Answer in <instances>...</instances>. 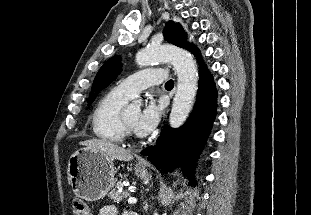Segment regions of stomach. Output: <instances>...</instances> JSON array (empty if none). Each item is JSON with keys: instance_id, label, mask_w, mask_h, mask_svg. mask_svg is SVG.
<instances>
[{"instance_id": "1", "label": "stomach", "mask_w": 311, "mask_h": 215, "mask_svg": "<svg viewBox=\"0 0 311 215\" xmlns=\"http://www.w3.org/2000/svg\"><path fill=\"white\" fill-rule=\"evenodd\" d=\"M145 183L151 179L145 167H135ZM69 181L75 195L87 201L104 198L114 185L113 161L87 147L75 151L68 161Z\"/></svg>"}]
</instances>
